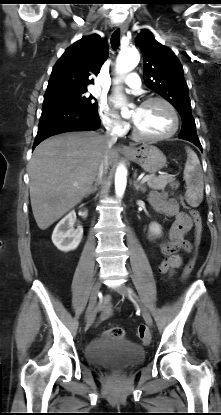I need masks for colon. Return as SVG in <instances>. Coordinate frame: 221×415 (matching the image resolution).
Returning <instances> with one entry per match:
<instances>
[{"instance_id":"colon-1","label":"colon","mask_w":221,"mask_h":415,"mask_svg":"<svg viewBox=\"0 0 221 415\" xmlns=\"http://www.w3.org/2000/svg\"><path fill=\"white\" fill-rule=\"evenodd\" d=\"M180 183L181 180L179 177H172L170 182H169V187L171 189H173V191H178V188L180 187ZM177 199L180 200L181 203L185 202L184 199V194L183 193H178L177 194ZM182 207H185V204H182ZM189 213L194 221V225H195V240H194V250H193V256L190 259V261L188 262V264L185 267L184 270V275L183 278L186 279L194 266V261H195V254H196V248L199 245L200 242V238H201V231H202V220H201V216L199 214V212L196 209L190 208L189 209ZM138 333V337L142 340V341H148L150 339V334L149 331L147 329V327L145 325H140L138 327L137 330ZM124 330L120 327H114L111 328L108 331V336L112 339H122L124 337Z\"/></svg>"}]
</instances>
